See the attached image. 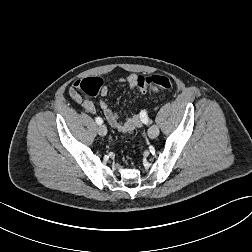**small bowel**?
<instances>
[{
  "mask_svg": "<svg viewBox=\"0 0 252 252\" xmlns=\"http://www.w3.org/2000/svg\"><path fill=\"white\" fill-rule=\"evenodd\" d=\"M137 75L135 74H129L127 76H124L120 79L121 82H124L129 85L131 89L137 88L136 84ZM80 82L81 80H76L73 85L68 89L69 96L79 105L83 107V109L87 113H95L96 108L93 104V102L87 98H84L80 94ZM154 92L157 91L156 88H152ZM108 95V87L104 85L101 89V97L100 100V107L103 111V114L105 116V119L107 123L116 131L122 132V133H132L135 129L141 127V120L139 117V114H134L127 118L125 121H121L119 118V115L114 112L107 104V102L103 99Z\"/></svg>",
  "mask_w": 252,
  "mask_h": 252,
  "instance_id": "obj_1",
  "label": "small bowel"
}]
</instances>
